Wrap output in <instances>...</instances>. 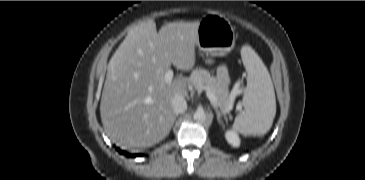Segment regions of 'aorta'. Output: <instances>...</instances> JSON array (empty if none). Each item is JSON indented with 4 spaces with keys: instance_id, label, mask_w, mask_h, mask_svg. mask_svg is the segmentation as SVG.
Here are the masks:
<instances>
[{
    "instance_id": "aorta-1",
    "label": "aorta",
    "mask_w": 365,
    "mask_h": 180,
    "mask_svg": "<svg viewBox=\"0 0 365 180\" xmlns=\"http://www.w3.org/2000/svg\"><path fill=\"white\" fill-rule=\"evenodd\" d=\"M193 118L197 122H204L206 120V114L203 110H197L194 113Z\"/></svg>"
}]
</instances>
